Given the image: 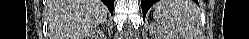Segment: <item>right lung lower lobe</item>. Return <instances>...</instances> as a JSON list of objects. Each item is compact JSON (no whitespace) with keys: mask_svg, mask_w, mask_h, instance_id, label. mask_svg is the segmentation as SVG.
<instances>
[{"mask_svg":"<svg viewBox=\"0 0 249 39\" xmlns=\"http://www.w3.org/2000/svg\"><path fill=\"white\" fill-rule=\"evenodd\" d=\"M104 2V4L108 7L109 11L111 12V14H113V0H102Z\"/></svg>","mask_w":249,"mask_h":39,"instance_id":"right-lung-lower-lobe-1","label":"right lung lower lobe"}]
</instances>
